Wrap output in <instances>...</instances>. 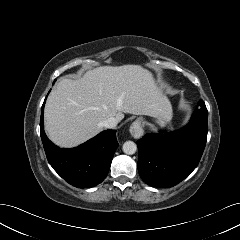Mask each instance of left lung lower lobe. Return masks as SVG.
<instances>
[{
    "label": "left lung lower lobe",
    "mask_w": 240,
    "mask_h": 240,
    "mask_svg": "<svg viewBox=\"0 0 240 240\" xmlns=\"http://www.w3.org/2000/svg\"><path fill=\"white\" fill-rule=\"evenodd\" d=\"M198 106L181 131L148 133L137 141L138 171L146 184L172 187L197 167L208 132V111L204 101L201 100Z\"/></svg>",
    "instance_id": "left-lung-lower-lobe-1"
}]
</instances>
